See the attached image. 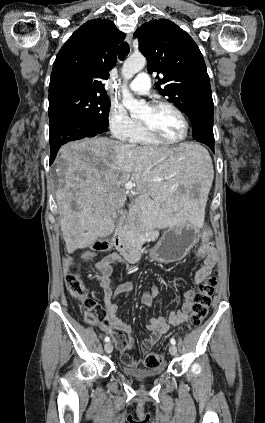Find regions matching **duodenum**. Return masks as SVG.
I'll list each match as a JSON object with an SVG mask.
<instances>
[{
  "instance_id": "obj_1",
  "label": "duodenum",
  "mask_w": 265,
  "mask_h": 423,
  "mask_svg": "<svg viewBox=\"0 0 265 423\" xmlns=\"http://www.w3.org/2000/svg\"><path fill=\"white\" fill-rule=\"evenodd\" d=\"M126 220L123 219L119 222L116 233L112 241L114 246L124 259L130 263H135L141 258V244L139 241H131L125 236Z\"/></svg>"
}]
</instances>
